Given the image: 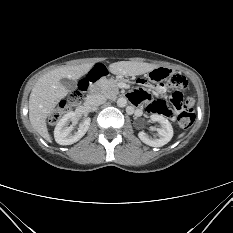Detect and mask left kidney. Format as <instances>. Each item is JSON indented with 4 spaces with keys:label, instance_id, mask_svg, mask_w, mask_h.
<instances>
[{
    "label": "left kidney",
    "instance_id": "obj_1",
    "mask_svg": "<svg viewBox=\"0 0 233 233\" xmlns=\"http://www.w3.org/2000/svg\"><path fill=\"white\" fill-rule=\"evenodd\" d=\"M152 122H157L160 127L157 128L158 138H151L144 131L139 132L138 136L142 142L152 147H161L167 144L173 137V128L170 122L163 116L152 114L150 116Z\"/></svg>",
    "mask_w": 233,
    "mask_h": 233
}]
</instances>
